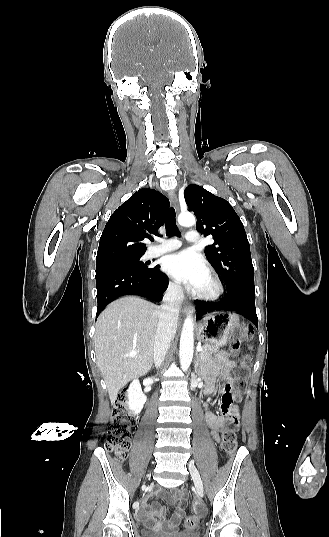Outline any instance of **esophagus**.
I'll use <instances>...</instances> for the list:
<instances>
[{
	"label": "esophagus",
	"instance_id": "1",
	"mask_svg": "<svg viewBox=\"0 0 329 537\" xmlns=\"http://www.w3.org/2000/svg\"><path fill=\"white\" fill-rule=\"evenodd\" d=\"M169 200H170L172 206L175 208V210L177 212H179V202H178V199H177V195L175 194L174 191H169ZM189 309H190V306L187 303H184V305L182 307V311L187 312Z\"/></svg>",
	"mask_w": 329,
	"mask_h": 537
}]
</instances>
